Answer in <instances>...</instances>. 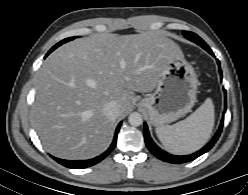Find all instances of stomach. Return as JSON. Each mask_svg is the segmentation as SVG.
<instances>
[{
  "label": "stomach",
  "instance_id": "1",
  "mask_svg": "<svg viewBox=\"0 0 248 195\" xmlns=\"http://www.w3.org/2000/svg\"><path fill=\"white\" fill-rule=\"evenodd\" d=\"M198 80L194 68L183 55L171 58L162 72L155 91L139 102L151 123L161 127L188 112L196 102Z\"/></svg>",
  "mask_w": 248,
  "mask_h": 195
}]
</instances>
